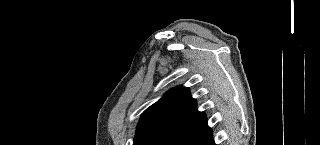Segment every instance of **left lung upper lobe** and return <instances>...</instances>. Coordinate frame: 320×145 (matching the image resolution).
Instances as JSON below:
<instances>
[{
	"label": "left lung upper lobe",
	"mask_w": 320,
	"mask_h": 145,
	"mask_svg": "<svg viewBox=\"0 0 320 145\" xmlns=\"http://www.w3.org/2000/svg\"><path fill=\"white\" fill-rule=\"evenodd\" d=\"M207 123L186 87L174 88L142 114L133 145H179Z\"/></svg>",
	"instance_id": "5c2ea615"
}]
</instances>
